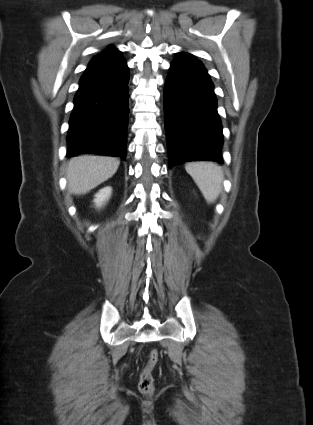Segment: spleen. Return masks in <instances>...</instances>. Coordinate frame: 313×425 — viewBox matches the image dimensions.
I'll list each match as a JSON object with an SVG mask.
<instances>
[{
    "label": "spleen",
    "instance_id": "obj_1",
    "mask_svg": "<svg viewBox=\"0 0 313 425\" xmlns=\"http://www.w3.org/2000/svg\"><path fill=\"white\" fill-rule=\"evenodd\" d=\"M185 169L193 178L207 202H214L222 190L224 178L222 168L211 162H192L187 163Z\"/></svg>",
    "mask_w": 313,
    "mask_h": 425
}]
</instances>
